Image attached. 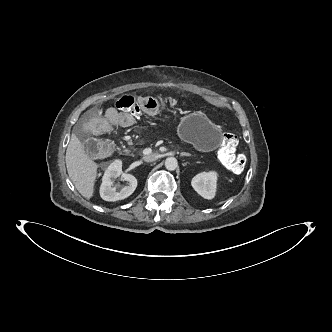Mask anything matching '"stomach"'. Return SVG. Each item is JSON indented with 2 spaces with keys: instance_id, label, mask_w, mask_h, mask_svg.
I'll list each match as a JSON object with an SVG mask.
<instances>
[{
  "instance_id": "stomach-1",
  "label": "stomach",
  "mask_w": 332,
  "mask_h": 332,
  "mask_svg": "<svg viewBox=\"0 0 332 332\" xmlns=\"http://www.w3.org/2000/svg\"><path fill=\"white\" fill-rule=\"evenodd\" d=\"M178 133L182 139L206 151L216 149L223 140L222 130L199 112L181 117Z\"/></svg>"
}]
</instances>
